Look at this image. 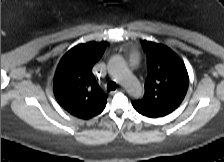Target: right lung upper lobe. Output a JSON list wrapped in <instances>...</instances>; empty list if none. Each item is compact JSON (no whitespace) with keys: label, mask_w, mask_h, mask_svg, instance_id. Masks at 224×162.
<instances>
[{"label":"right lung upper lobe","mask_w":224,"mask_h":162,"mask_svg":"<svg viewBox=\"0 0 224 162\" xmlns=\"http://www.w3.org/2000/svg\"><path fill=\"white\" fill-rule=\"evenodd\" d=\"M107 42H88L70 49L60 60L54 77V95L70 114L90 119L100 114L107 103L92 74V67L102 57Z\"/></svg>","instance_id":"obj_1"}]
</instances>
